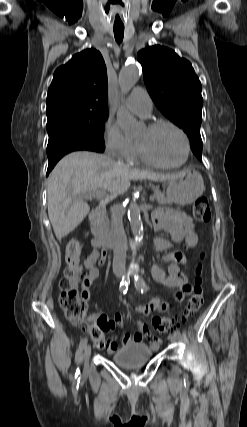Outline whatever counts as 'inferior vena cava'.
Returning <instances> with one entry per match:
<instances>
[{
  "label": "inferior vena cava",
  "mask_w": 247,
  "mask_h": 427,
  "mask_svg": "<svg viewBox=\"0 0 247 427\" xmlns=\"http://www.w3.org/2000/svg\"><path fill=\"white\" fill-rule=\"evenodd\" d=\"M111 211V236L113 241V272L121 273L125 269L126 261V235L122 222V215L118 206L114 205Z\"/></svg>",
  "instance_id": "1"
}]
</instances>
